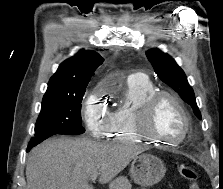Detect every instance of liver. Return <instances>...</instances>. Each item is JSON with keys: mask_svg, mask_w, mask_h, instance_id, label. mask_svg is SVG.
Instances as JSON below:
<instances>
[{"mask_svg": "<svg viewBox=\"0 0 223 189\" xmlns=\"http://www.w3.org/2000/svg\"><path fill=\"white\" fill-rule=\"evenodd\" d=\"M143 151L130 143H99L89 138H50L33 148L26 165V189H93L89 178L112 181Z\"/></svg>", "mask_w": 223, "mask_h": 189, "instance_id": "6515ba94", "label": "liver"}]
</instances>
